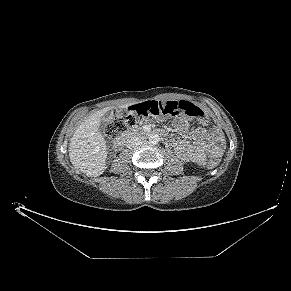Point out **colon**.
<instances>
[{"mask_svg":"<svg viewBox=\"0 0 291 291\" xmlns=\"http://www.w3.org/2000/svg\"><path fill=\"white\" fill-rule=\"evenodd\" d=\"M183 116L185 118H198L207 123L206 113L188 101H147L114 111L105 125V132L110 138H115L129 128L135 126L146 117H172ZM219 164L217 159H210L209 168H215Z\"/></svg>","mask_w":291,"mask_h":291,"instance_id":"5ec220e1","label":"colon"}]
</instances>
